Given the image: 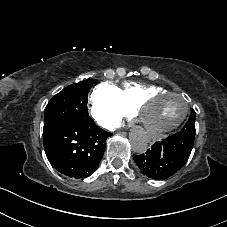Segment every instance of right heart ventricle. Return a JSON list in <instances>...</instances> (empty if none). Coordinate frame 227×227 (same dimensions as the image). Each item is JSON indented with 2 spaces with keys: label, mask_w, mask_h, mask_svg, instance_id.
<instances>
[{
  "label": "right heart ventricle",
  "mask_w": 227,
  "mask_h": 227,
  "mask_svg": "<svg viewBox=\"0 0 227 227\" xmlns=\"http://www.w3.org/2000/svg\"><path fill=\"white\" fill-rule=\"evenodd\" d=\"M166 90L156 84H145L141 82H125L120 89L121 99L129 111L134 110L136 104L146 95Z\"/></svg>",
  "instance_id": "obj_1"
}]
</instances>
